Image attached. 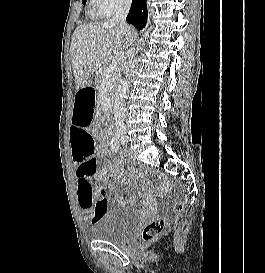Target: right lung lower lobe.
I'll use <instances>...</instances> for the list:
<instances>
[{"label": "right lung lower lobe", "mask_w": 265, "mask_h": 273, "mask_svg": "<svg viewBox=\"0 0 265 273\" xmlns=\"http://www.w3.org/2000/svg\"><path fill=\"white\" fill-rule=\"evenodd\" d=\"M147 14L146 0H132V5L126 20L138 30H141L146 25Z\"/></svg>", "instance_id": "1"}]
</instances>
